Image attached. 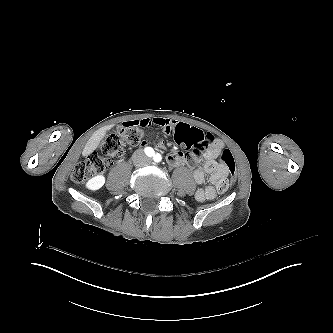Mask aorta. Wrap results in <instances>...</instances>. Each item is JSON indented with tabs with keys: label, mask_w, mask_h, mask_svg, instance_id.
I'll list each match as a JSON object with an SVG mask.
<instances>
[{
	"label": "aorta",
	"mask_w": 333,
	"mask_h": 333,
	"mask_svg": "<svg viewBox=\"0 0 333 333\" xmlns=\"http://www.w3.org/2000/svg\"><path fill=\"white\" fill-rule=\"evenodd\" d=\"M154 161L155 162L161 161V155L160 154H156L155 157H154Z\"/></svg>",
	"instance_id": "1"
}]
</instances>
